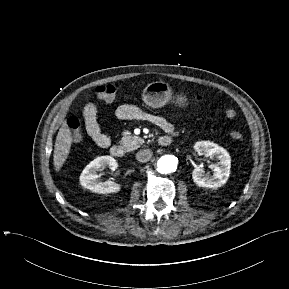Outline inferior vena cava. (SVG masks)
<instances>
[{
  "label": "inferior vena cava",
  "instance_id": "1",
  "mask_svg": "<svg viewBox=\"0 0 289 289\" xmlns=\"http://www.w3.org/2000/svg\"><path fill=\"white\" fill-rule=\"evenodd\" d=\"M153 155V152L150 149H141L136 153V159L139 162L145 163L148 162Z\"/></svg>",
  "mask_w": 289,
  "mask_h": 289
}]
</instances>
